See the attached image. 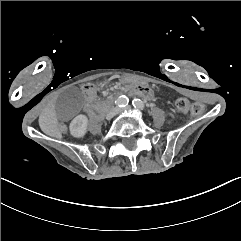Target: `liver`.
Segmentation results:
<instances>
[{
    "mask_svg": "<svg viewBox=\"0 0 241 241\" xmlns=\"http://www.w3.org/2000/svg\"><path fill=\"white\" fill-rule=\"evenodd\" d=\"M39 126L43 133L57 139H62V132L59 129V120L54 108H47L39 118Z\"/></svg>",
    "mask_w": 241,
    "mask_h": 241,
    "instance_id": "6515ba94",
    "label": "liver"
}]
</instances>
